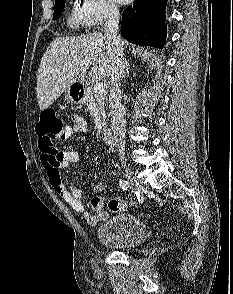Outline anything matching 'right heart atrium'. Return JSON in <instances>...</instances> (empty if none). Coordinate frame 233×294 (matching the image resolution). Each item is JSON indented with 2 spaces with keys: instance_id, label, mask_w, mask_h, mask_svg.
<instances>
[{
  "instance_id": "obj_1",
  "label": "right heart atrium",
  "mask_w": 233,
  "mask_h": 294,
  "mask_svg": "<svg viewBox=\"0 0 233 294\" xmlns=\"http://www.w3.org/2000/svg\"><path fill=\"white\" fill-rule=\"evenodd\" d=\"M80 10L86 19L87 27L93 29H98L119 17V9L113 0H83Z\"/></svg>"
}]
</instances>
